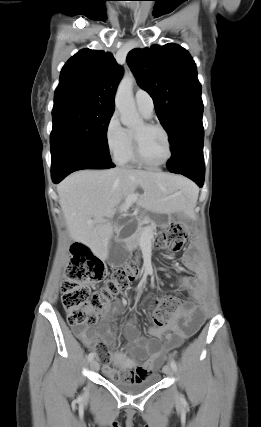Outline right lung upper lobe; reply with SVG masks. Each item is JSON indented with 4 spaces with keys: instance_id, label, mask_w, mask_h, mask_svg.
<instances>
[{
    "instance_id": "obj_1",
    "label": "right lung upper lobe",
    "mask_w": 261,
    "mask_h": 427,
    "mask_svg": "<svg viewBox=\"0 0 261 427\" xmlns=\"http://www.w3.org/2000/svg\"><path fill=\"white\" fill-rule=\"evenodd\" d=\"M123 69L111 53L83 49L62 68L53 109L87 106L114 111V96Z\"/></svg>"
}]
</instances>
